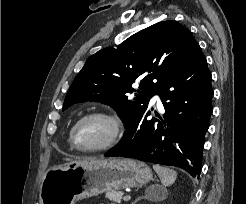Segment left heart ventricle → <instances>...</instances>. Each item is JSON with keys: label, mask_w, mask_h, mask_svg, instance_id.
<instances>
[{"label": "left heart ventricle", "mask_w": 246, "mask_h": 204, "mask_svg": "<svg viewBox=\"0 0 246 204\" xmlns=\"http://www.w3.org/2000/svg\"><path fill=\"white\" fill-rule=\"evenodd\" d=\"M111 132L110 124L100 118H91L80 124L76 140L81 147H94L103 143Z\"/></svg>", "instance_id": "1"}]
</instances>
